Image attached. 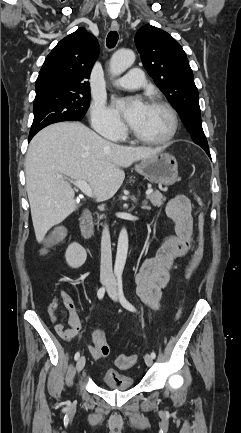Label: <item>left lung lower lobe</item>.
Masks as SVG:
<instances>
[{
	"instance_id": "left-lung-lower-lobe-1",
	"label": "left lung lower lobe",
	"mask_w": 241,
	"mask_h": 433,
	"mask_svg": "<svg viewBox=\"0 0 241 433\" xmlns=\"http://www.w3.org/2000/svg\"><path fill=\"white\" fill-rule=\"evenodd\" d=\"M204 150L208 154V156L211 158L209 148H204Z\"/></svg>"
}]
</instances>
